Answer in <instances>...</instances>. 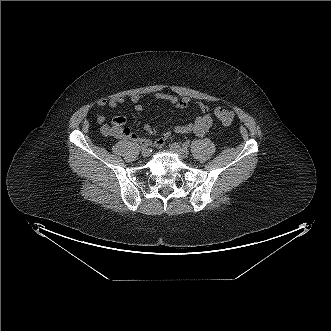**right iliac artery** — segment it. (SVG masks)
<instances>
[{"mask_svg": "<svg viewBox=\"0 0 331 331\" xmlns=\"http://www.w3.org/2000/svg\"><path fill=\"white\" fill-rule=\"evenodd\" d=\"M149 145V142H145L144 144H142L141 149L147 148Z\"/></svg>", "mask_w": 331, "mask_h": 331, "instance_id": "right-iliac-artery-1", "label": "right iliac artery"}]
</instances>
